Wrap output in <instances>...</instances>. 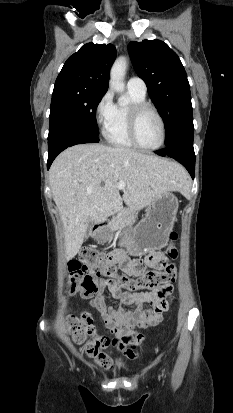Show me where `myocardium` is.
<instances>
[{
	"label": "myocardium",
	"mask_w": 233,
	"mask_h": 413,
	"mask_svg": "<svg viewBox=\"0 0 233 413\" xmlns=\"http://www.w3.org/2000/svg\"><path fill=\"white\" fill-rule=\"evenodd\" d=\"M145 111H152L156 115L161 125V140H160V143L154 147L144 146L139 141V138H138V133H137L138 122H139L141 115ZM128 134H129L130 140L135 145V147L141 150H144V151H156L162 148L166 142V136H167L166 124H165V121L162 115L160 114V112L155 106L147 102L137 103V104L132 105L129 110Z\"/></svg>",
	"instance_id": "myocardium-1"
}]
</instances>
